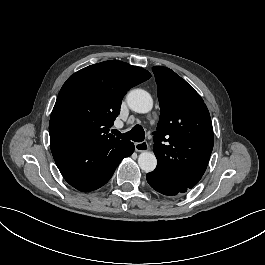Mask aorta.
Instances as JSON below:
<instances>
[{
  "mask_svg": "<svg viewBox=\"0 0 265 265\" xmlns=\"http://www.w3.org/2000/svg\"><path fill=\"white\" fill-rule=\"evenodd\" d=\"M126 101L129 108L137 113H148L153 107L151 95L143 89L131 90L126 96ZM138 165L141 170L149 173L156 168L157 159L153 153L143 151L138 157Z\"/></svg>",
  "mask_w": 265,
  "mask_h": 265,
  "instance_id": "1",
  "label": "aorta"
}]
</instances>
